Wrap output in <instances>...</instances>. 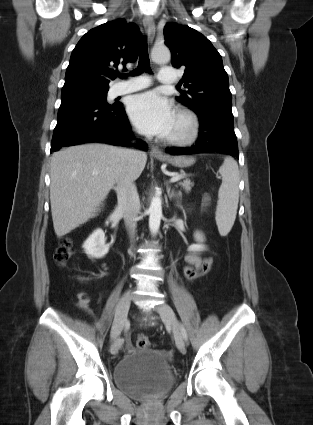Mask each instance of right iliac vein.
I'll list each match as a JSON object with an SVG mask.
<instances>
[{
    "instance_id": "1",
    "label": "right iliac vein",
    "mask_w": 313,
    "mask_h": 425,
    "mask_svg": "<svg viewBox=\"0 0 313 425\" xmlns=\"http://www.w3.org/2000/svg\"><path fill=\"white\" fill-rule=\"evenodd\" d=\"M130 300H131V292L127 291L118 303L115 318H114L112 329H111V339L112 341L115 342L114 348L118 347L117 339L126 323L127 314L130 307Z\"/></svg>"
}]
</instances>
